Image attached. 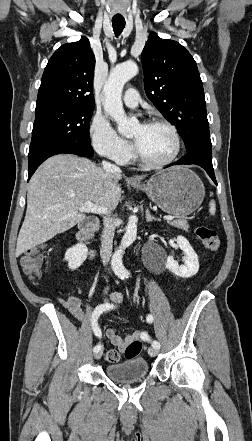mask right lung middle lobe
<instances>
[{
	"label": "right lung middle lobe",
	"instance_id": "1",
	"mask_svg": "<svg viewBox=\"0 0 252 441\" xmlns=\"http://www.w3.org/2000/svg\"><path fill=\"white\" fill-rule=\"evenodd\" d=\"M93 108L64 104L36 107L29 151L64 141L90 144L89 121Z\"/></svg>",
	"mask_w": 252,
	"mask_h": 441
}]
</instances>
